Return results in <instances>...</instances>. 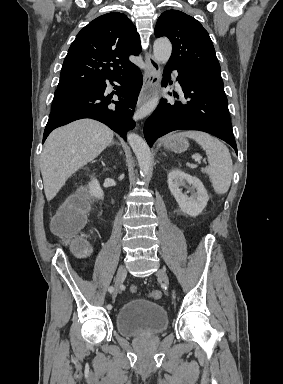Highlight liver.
Masks as SVG:
<instances>
[{"mask_svg": "<svg viewBox=\"0 0 283 384\" xmlns=\"http://www.w3.org/2000/svg\"><path fill=\"white\" fill-rule=\"evenodd\" d=\"M113 132L95 120H77L48 136L40 158L45 196L50 202L68 178L97 158L111 142Z\"/></svg>", "mask_w": 283, "mask_h": 384, "instance_id": "1", "label": "liver"}]
</instances>
